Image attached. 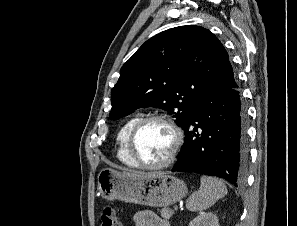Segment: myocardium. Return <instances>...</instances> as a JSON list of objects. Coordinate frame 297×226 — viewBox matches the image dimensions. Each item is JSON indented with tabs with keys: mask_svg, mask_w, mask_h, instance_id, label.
<instances>
[{
	"mask_svg": "<svg viewBox=\"0 0 297 226\" xmlns=\"http://www.w3.org/2000/svg\"><path fill=\"white\" fill-rule=\"evenodd\" d=\"M162 122L166 124L173 132L174 135V142L173 146L171 148V151L166 159H164L162 162L156 163V164H147L141 161V159L138 157L136 151H135V139L140 131V129L149 122ZM184 142V133L180 125L170 116L164 115V114H150L147 116H143L140 119H138L133 127L131 128L128 139H127V150L132 158V160L135 162L137 167L142 169H148V170H159L166 167H169L172 165Z\"/></svg>",
	"mask_w": 297,
	"mask_h": 226,
	"instance_id": "f54148a6",
	"label": "myocardium"
}]
</instances>
